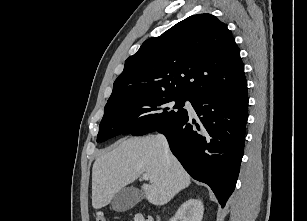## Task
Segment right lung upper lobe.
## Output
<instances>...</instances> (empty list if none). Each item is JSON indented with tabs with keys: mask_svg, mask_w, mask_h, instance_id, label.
<instances>
[{
	"mask_svg": "<svg viewBox=\"0 0 307 221\" xmlns=\"http://www.w3.org/2000/svg\"><path fill=\"white\" fill-rule=\"evenodd\" d=\"M245 84L240 52L227 25L213 15L197 14L146 40L125 61L107 104L145 93L193 101Z\"/></svg>",
	"mask_w": 307,
	"mask_h": 221,
	"instance_id": "right-lung-upper-lobe-1",
	"label": "right lung upper lobe"
}]
</instances>
